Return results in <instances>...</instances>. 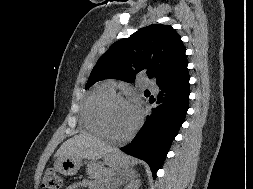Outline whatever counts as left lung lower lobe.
<instances>
[{
	"label": "left lung lower lobe",
	"instance_id": "0a47b994",
	"mask_svg": "<svg viewBox=\"0 0 253 189\" xmlns=\"http://www.w3.org/2000/svg\"><path fill=\"white\" fill-rule=\"evenodd\" d=\"M187 65L186 59L166 81V87L164 83L159 85L162 91L159 92L156 103L161 104L152 109L151 115L147 116L145 125L134 140L120 148L129 155L145 160L154 179L189 108L190 77Z\"/></svg>",
	"mask_w": 253,
	"mask_h": 189
}]
</instances>
